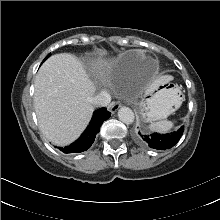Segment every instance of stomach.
Listing matches in <instances>:
<instances>
[{
    "label": "stomach",
    "instance_id": "1",
    "mask_svg": "<svg viewBox=\"0 0 220 220\" xmlns=\"http://www.w3.org/2000/svg\"><path fill=\"white\" fill-rule=\"evenodd\" d=\"M156 91L155 93H153ZM149 93V98L140 104L142 116L147 121H156L167 118L182 104L180 89L170 82L160 83L155 90Z\"/></svg>",
    "mask_w": 220,
    "mask_h": 220
}]
</instances>
